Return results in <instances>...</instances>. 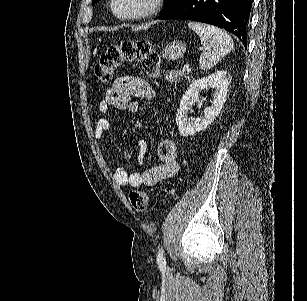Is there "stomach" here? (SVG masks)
I'll return each mask as SVG.
<instances>
[{
	"label": "stomach",
	"instance_id": "0dacf381",
	"mask_svg": "<svg viewBox=\"0 0 307 301\" xmlns=\"http://www.w3.org/2000/svg\"><path fill=\"white\" fill-rule=\"evenodd\" d=\"M184 52H186L185 42L183 40H172L163 48L162 56L168 58V60H177V58L183 56Z\"/></svg>",
	"mask_w": 307,
	"mask_h": 301
}]
</instances>
